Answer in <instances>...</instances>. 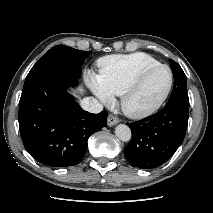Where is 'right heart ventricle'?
Returning a JSON list of instances; mask_svg holds the SVG:
<instances>
[{
    "mask_svg": "<svg viewBox=\"0 0 213 213\" xmlns=\"http://www.w3.org/2000/svg\"><path fill=\"white\" fill-rule=\"evenodd\" d=\"M157 64L155 58L141 52L107 56L98 62L100 81L109 94L119 96L143 70Z\"/></svg>",
    "mask_w": 213,
    "mask_h": 213,
    "instance_id": "1",
    "label": "right heart ventricle"
}]
</instances>
